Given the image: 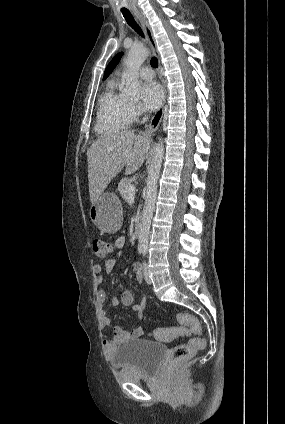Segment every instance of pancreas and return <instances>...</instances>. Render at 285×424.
Listing matches in <instances>:
<instances>
[{
	"instance_id": "1",
	"label": "pancreas",
	"mask_w": 285,
	"mask_h": 424,
	"mask_svg": "<svg viewBox=\"0 0 285 424\" xmlns=\"http://www.w3.org/2000/svg\"><path fill=\"white\" fill-rule=\"evenodd\" d=\"M131 185L132 182L128 178H123L118 185L119 194L124 200H127L129 197L128 189Z\"/></svg>"
}]
</instances>
